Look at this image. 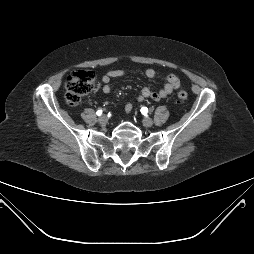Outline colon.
I'll use <instances>...</instances> for the list:
<instances>
[{"instance_id": "colon-1", "label": "colon", "mask_w": 254, "mask_h": 254, "mask_svg": "<svg viewBox=\"0 0 254 254\" xmlns=\"http://www.w3.org/2000/svg\"><path fill=\"white\" fill-rule=\"evenodd\" d=\"M95 87V74L87 70L73 71L65 83V99L70 106H76L82 97L90 93ZM179 101L184 102L188 98L185 91L177 94Z\"/></svg>"}]
</instances>
